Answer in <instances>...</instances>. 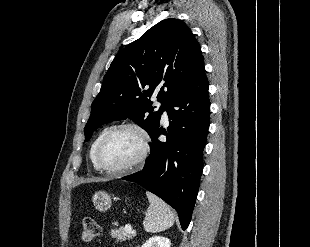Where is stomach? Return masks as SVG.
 I'll return each mask as SVG.
<instances>
[{"instance_id":"obj_1","label":"stomach","mask_w":310,"mask_h":247,"mask_svg":"<svg viewBox=\"0 0 310 247\" xmlns=\"http://www.w3.org/2000/svg\"><path fill=\"white\" fill-rule=\"evenodd\" d=\"M92 201L96 209L103 212L108 210L112 205L111 197L105 191L95 192L92 197Z\"/></svg>"}]
</instances>
